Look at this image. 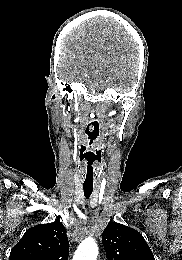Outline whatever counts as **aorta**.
Wrapping results in <instances>:
<instances>
[{
	"label": "aorta",
	"instance_id": "762f6f07",
	"mask_svg": "<svg viewBox=\"0 0 182 260\" xmlns=\"http://www.w3.org/2000/svg\"><path fill=\"white\" fill-rule=\"evenodd\" d=\"M97 256V243L93 238H87L77 248L73 260H96Z\"/></svg>",
	"mask_w": 182,
	"mask_h": 260
}]
</instances>
